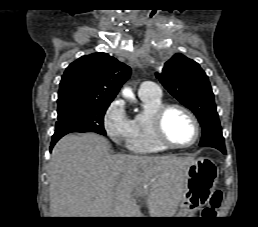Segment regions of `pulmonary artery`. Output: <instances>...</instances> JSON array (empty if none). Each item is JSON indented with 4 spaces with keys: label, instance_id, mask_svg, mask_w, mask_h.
Instances as JSON below:
<instances>
[{
    "label": "pulmonary artery",
    "instance_id": "e3ab8cb5",
    "mask_svg": "<svg viewBox=\"0 0 258 227\" xmlns=\"http://www.w3.org/2000/svg\"><path fill=\"white\" fill-rule=\"evenodd\" d=\"M138 93L140 96H150V97H161L162 92L160 87L151 81H145L140 84Z\"/></svg>",
    "mask_w": 258,
    "mask_h": 227
}]
</instances>
